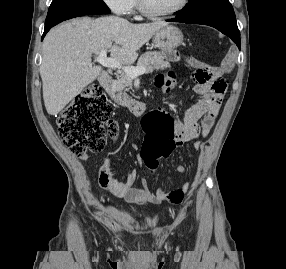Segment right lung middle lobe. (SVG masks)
<instances>
[{
    "instance_id": "right-lung-middle-lobe-1",
    "label": "right lung middle lobe",
    "mask_w": 286,
    "mask_h": 269,
    "mask_svg": "<svg viewBox=\"0 0 286 269\" xmlns=\"http://www.w3.org/2000/svg\"><path fill=\"white\" fill-rule=\"evenodd\" d=\"M109 12V8L102 0H53L45 20V27H51L78 16Z\"/></svg>"
}]
</instances>
